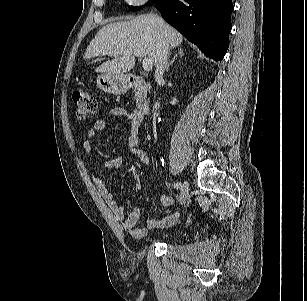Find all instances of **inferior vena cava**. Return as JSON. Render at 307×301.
Here are the masks:
<instances>
[{
  "label": "inferior vena cava",
  "mask_w": 307,
  "mask_h": 301,
  "mask_svg": "<svg viewBox=\"0 0 307 301\" xmlns=\"http://www.w3.org/2000/svg\"><path fill=\"white\" fill-rule=\"evenodd\" d=\"M169 49H170V46L168 43H164L161 47V50L159 53L158 64H157V68L155 71V80L157 82L163 81V73L168 64Z\"/></svg>",
  "instance_id": "602c4592"
}]
</instances>
